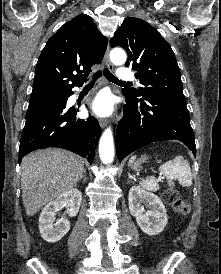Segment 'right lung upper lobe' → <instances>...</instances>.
<instances>
[{
  "label": "right lung upper lobe",
  "mask_w": 221,
  "mask_h": 274,
  "mask_svg": "<svg viewBox=\"0 0 221 274\" xmlns=\"http://www.w3.org/2000/svg\"><path fill=\"white\" fill-rule=\"evenodd\" d=\"M107 44L88 15L65 23L38 59L30 101L66 95L74 86H82L91 66L102 61Z\"/></svg>",
  "instance_id": "obj_1"
}]
</instances>
